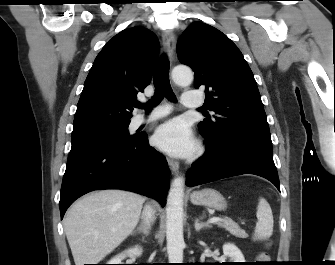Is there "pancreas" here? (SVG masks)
I'll use <instances>...</instances> for the list:
<instances>
[{
    "label": "pancreas",
    "instance_id": "obj_1",
    "mask_svg": "<svg viewBox=\"0 0 335 265\" xmlns=\"http://www.w3.org/2000/svg\"><path fill=\"white\" fill-rule=\"evenodd\" d=\"M218 226L225 228L230 234L239 237L246 238L247 234L244 230H242L239 225L231 220L230 218H224L222 221L218 223Z\"/></svg>",
    "mask_w": 335,
    "mask_h": 265
}]
</instances>
